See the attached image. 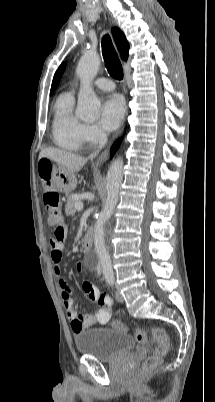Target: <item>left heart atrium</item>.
I'll list each match as a JSON object with an SVG mask.
<instances>
[{
	"instance_id": "left-heart-atrium-1",
	"label": "left heart atrium",
	"mask_w": 215,
	"mask_h": 402,
	"mask_svg": "<svg viewBox=\"0 0 215 402\" xmlns=\"http://www.w3.org/2000/svg\"><path fill=\"white\" fill-rule=\"evenodd\" d=\"M125 114V103L120 95L108 96L101 106L100 124L108 131L115 130L121 124Z\"/></svg>"
}]
</instances>
